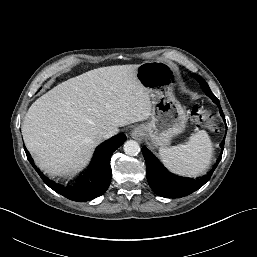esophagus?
Segmentation results:
<instances>
[{
  "label": "esophagus",
  "mask_w": 257,
  "mask_h": 257,
  "mask_svg": "<svg viewBox=\"0 0 257 257\" xmlns=\"http://www.w3.org/2000/svg\"><path fill=\"white\" fill-rule=\"evenodd\" d=\"M131 136L132 138L139 140L142 136V133L138 128H135L131 131Z\"/></svg>",
  "instance_id": "esophagus-1"
}]
</instances>
